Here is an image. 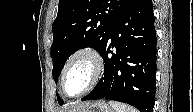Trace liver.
Wrapping results in <instances>:
<instances>
[{
	"label": "liver",
	"instance_id": "1",
	"mask_svg": "<svg viewBox=\"0 0 193 112\" xmlns=\"http://www.w3.org/2000/svg\"><path fill=\"white\" fill-rule=\"evenodd\" d=\"M88 103L90 102H78V103L70 105L67 110L70 112H77L80 109L84 108Z\"/></svg>",
	"mask_w": 193,
	"mask_h": 112
}]
</instances>
